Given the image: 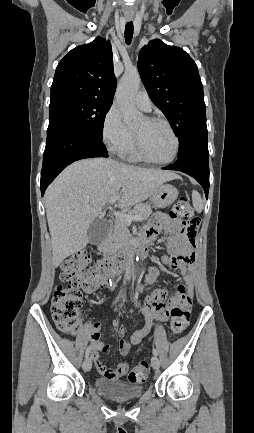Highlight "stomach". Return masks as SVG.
Wrapping results in <instances>:
<instances>
[{"instance_id":"1","label":"stomach","mask_w":254,"mask_h":433,"mask_svg":"<svg viewBox=\"0 0 254 433\" xmlns=\"http://www.w3.org/2000/svg\"><path fill=\"white\" fill-rule=\"evenodd\" d=\"M178 197V190L171 184H161L152 196L155 208H165L171 205Z\"/></svg>"}]
</instances>
